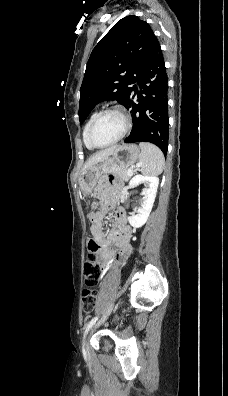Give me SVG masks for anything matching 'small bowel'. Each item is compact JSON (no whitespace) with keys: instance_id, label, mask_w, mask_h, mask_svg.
<instances>
[{"instance_id":"c3829d8e","label":"small bowel","mask_w":228,"mask_h":396,"mask_svg":"<svg viewBox=\"0 0 228 396\" xmlns=\"http://www.w3.org/2000/svg\"><path fill=\"white\" fill-rule=\"evenodd\" d=\"M118 182L114 177L108 178L103 184L96 188V196L102 202L110 198L112 191L118 190ZM115 216L117 218H122L124 220V211L120 208L115 210ZM93 231L98 243L97 255L100 260L101 268L105 271L107 270L110 262L118 257L125 256L130 253L131 246L129 244L130 239V228L126 231L124 235H119L117 228L112 233L111 237L104 235L100 228V223L98 219H95ZM114 242L117 249L111 248V244Z\"/></svg>"}]
</instances>
